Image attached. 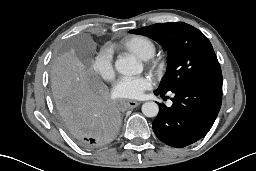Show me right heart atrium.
<instances>
[{"label":"right heart atrium","instance_id":"1","mask_svg":"<svg viewBox=\"0 0 256 171\" xmlns=\"http://www.w3.org/2000/svg\"><path fill=\"white\" fill-rule=\"evenodd\" d=\"M93 71L104 80H112L115 76L113 56L107 50H101L92 63Z\"/></svg>","mask_w":256,"mask_h":171}]
</instances>
